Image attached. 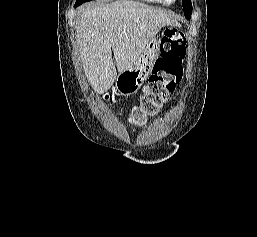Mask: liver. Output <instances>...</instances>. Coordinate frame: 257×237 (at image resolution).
Segmentation results:
<instances>
[{
  "mask_svg": "<svg viewBox=\"0 0 257 237\" xmlns=\"http://www.w3.org/2000/svg\"><path fill=\"white\" fill-rule=\"evenodd\" d=\"M176 24L165 11L129 0L84 9L76 38L94 91H108L116 80L117 70L121 73L134 66L147 43L166 25Z\"/></svg>",
  "mask_w": 257,
  "mask_h": 237,
  "instance_id": "obj_1",
  "label": "liver"
}]
</instances>
